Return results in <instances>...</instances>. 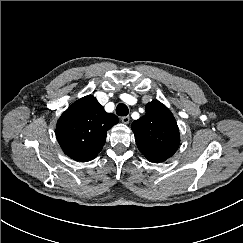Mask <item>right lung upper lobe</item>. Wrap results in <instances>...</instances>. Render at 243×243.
<instances>
[{
	"instance_id": "right-lung-upper-lobe-1",
	"label": "right lung upper lobe",
	"mask_w": 243,
	"mask_h": 243,
	"mask_svg": "<svg viewBox=\"0 0 243 243\" xmlns=\"http://www.w3.org/2000/svg\"><path fill=\"white\" fill-rule=\"evenodd\" d=\"M118 117L105 112L92 95L73 103L59 118L56 138L62 150L76 161L87 162L102 150L107 131Z\"/></svg>"
}]
</instances>
